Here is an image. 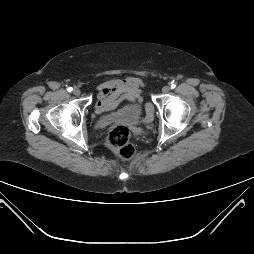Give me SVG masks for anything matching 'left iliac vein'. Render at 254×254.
Listing matches in <instances>:
<instances>
[{"label":"left iliac vein","instance_id":"obj_1","mask_svg":"<svg viewBox=\"0 0 254 254\" xmlns=\"http://www.w3.org/2000/svg\"><path fill=\"white\" fill-rule=\"evenodd\" d=\"M170 91V87L169 86H164L163 88H162V92L163 93H168Z\"/></svg>","mask_w":254,"mask_h":254}]
</instances>
